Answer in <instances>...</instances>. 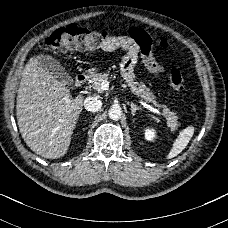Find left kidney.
<instances>
[{"label":"left kidney","instance_id":"left-kidney-1","mask_svg":"<svg viewBox=\"0 0 228 228\" xmlns=\"http://www.w3.org/2000/svg\"><path fill=\"white\" fill-rule=\"evenodd\" d=\"M144 135L147 141H154L156 138V131L153 128H146Z\"/></svg>","mask_w":228,"mask_h":228}]
</instances>
